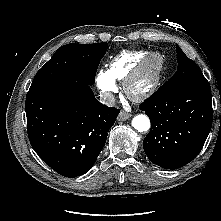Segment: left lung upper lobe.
Instances as JSON below:
<instances>
[{
  "mask_svg": "<svg viewBox=\"0 0 221 221\" xmlns=\"http://www.w3.org/2000/svg\"><path fill=\"white\" fill-rule=\"evenodd\" d=\"M178 68L161 89L201 87L210 88L208 81L194 61L189 59L179 46H176Z\"/></svg>",
  "mask_w": 221,
  "mask_h": 221,
  "instance_id": "left-lung-upper-lobe-1",
  "label": "left lung upper lobe"
}]
</instances>
